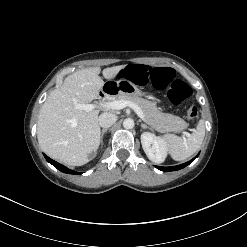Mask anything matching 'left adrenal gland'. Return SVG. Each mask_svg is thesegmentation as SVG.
I'll use <instances>...</instances> for the list:
<instances>
[{
	"instance_id": "left-adrenal-gland-1",
	"label": "left adrenal gland",
	"mask_w": 247,
	"mask_h": 247,
	"mask_svg": "<svg viewBox=\"0 0 247 247\" xmlns=\"http://www.w3.org/2000/svg\"><path fill=\"white\" fill-rule=\"evenodd\" d=\"M141 122V127L144 129V128H147V129H150L152 130V127H149L148 125H146L145 123H143L141 120H139Z\"/></svg>"
}]
</instances>
